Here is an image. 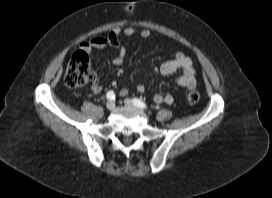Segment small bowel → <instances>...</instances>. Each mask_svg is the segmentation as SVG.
<instances>
[{
	"label": "small bowel",
	"mask_w": 272,
	"mask_h": 198,
	"mask_svg": "<svg viewBox=\"0 0 272 198\" xmlns=\"http://www.w3.org/2000/svg\"><path fill=\"white\" fill-rule=\"evenodd\" d=\"M121 32H123L127 36H131L134 35L137 31L132 27H127L123 30H121L120 28H114L107 35L97 36L88 41L82 42L80 45V49L88 54H91L96 49H102L107 46H112L117 49V55L113 58L112 62L114 65L119 66L124 62L126 57V49L118 40ZM140 35L143 38H148L151 36V32L145 29L140 31ZM177 70H180L182 72L176 80L177 85L189 90L194 89L196 86V72L193 67L192 60L182 52L176 53L173 59L164 62L160 66V73L162 75H169L176 72ZM91 89L94 93L98 94L102 91L103 86L99 80H96L93 82ZM136 89L138 92L143 93L145 91V86L142 84H138L136 86ZM127 92L128 90L125 88L122 89L121 94L125 95L127 94ZM154 101L156 103H165L167 105H171L174 99L170 94H156L154 95Z\"/></svg>",
	"instance_id": "1"
}]
</instances>
